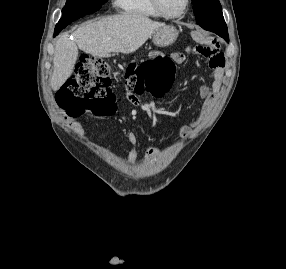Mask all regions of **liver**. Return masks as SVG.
<instances>
[{
    "label": "liver",
    "instance_id": "6515ba94",
    "mask_svg": "<svg viewBox=\"0 0 286 269\" xmlns=\"http://www.w3.org/2000/svg\"><path fill=\"white\" fill-rule=\"evenodd\" d=\"M164 25L144 15H115L83 24L74 32L73 41L62 35L55 45L52 89L59 90L72 74L78 48L98 57H107L112 52L133 53Z\"/></svg>",
    "mask_w": 286,
    "mask_h": 269
}]
</instances>
